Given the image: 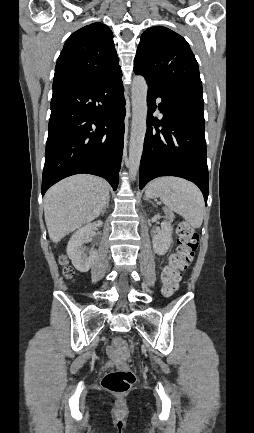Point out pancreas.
<instances>
[{"instance_id":"obj_1","label":"pancreas","mask_w":254,"mask_h":433,"mask_svg":"<svg viewBox=\"0 0 254 433\" xmlns=\"http://www.w3.org/2000/svg\"><path fill=\"white\" fill-rule=\"evenodd\" d=\"M164 212L169 216V218L172 216V212L168 208H164Z\"/></svg>"}]
</instances>
